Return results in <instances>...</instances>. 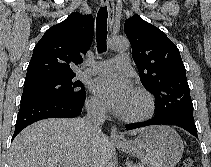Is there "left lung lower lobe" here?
I'll list each match as a JSON object with an SVG mask.
<instances>
[{"mask_svg":"<svg viewBox=\"0 0 211 167\" xmlns=\"http://www.w3.org/2000/svg\"><path fill=\"white\" fill-rule=\"evenodd\" d=\"M150 125H176L178 127H181L183 129L187 130L193 136L198 138L197 128H196V125L194 124V121H190V120H187L184 118H157V117H154L145 122L128 124L126 126V129L131 130V129H136V128H140V127L150 126Z\"/></svg>","mask_w":211,"mask_h":167,"instance_id":"obj_1","label":"left lung lower lobe"}]
</instances>
